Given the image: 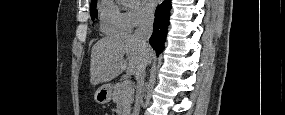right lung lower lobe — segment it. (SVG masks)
Masks as SVG:
<instances>
[{
	"label": "right lung lower lobe",
	"instance_id": "98d812e1",
	"mask_svg": "<svg viewBox=\"0 0 285 115\" xmlns=\"http://www.w3.org/2000/svg\"><path fill=\"white\" fill-rule=\"evenodd\" d=\"M170 9L171 0H165L156 8L155 11L153 34L149 41L157 55H159L164 49L167 26L169 25Z\"/></svg>",
	"mask_w": 285,
	"mask_h": 115
}]
</instances>
